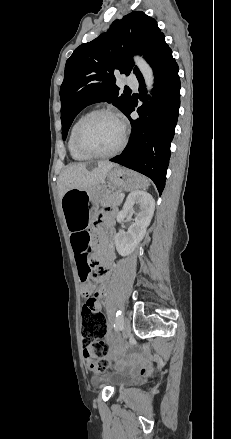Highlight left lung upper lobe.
I'll use <instances>...</instances> for the list:
<instances>
[{
	"label": "left lung upper lobe",
	"instance_id": "1",
	"mask_svg": "<svg viewBox=\"0 0 231 439\" xmlns=\"http://www.w3.org/2000/svg\"><path fill=\"white\" fill-rule=\"evenodd\" d=\"M167 48L156 20L142 11L115 20L107 32L77 47L66 62L60 88L63 139L76 115L92 103L106 101L124 113L132 98L119 94L114 73L133 72L140 78L132 56L143 55L152 66Z\"/></svg>",
	"mask_w": 231,
	"mask_h": 439
}]
</instances>
